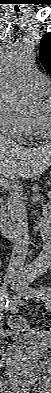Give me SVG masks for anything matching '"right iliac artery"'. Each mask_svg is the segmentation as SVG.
I'll return each instance as SVG.
<instances>
[{
  "instance_id": "right-iliac-artery-1",
  "label": "right iliac artery",
  "mask_w": 51,
  "mask_h": 393,
  "mask_svg": "<svg viewBox=\"0 0 51 393\" xmlns=\"http://www.w3.org/2000/svg\"><path fill=\"white\" fill-rule=\"evenodd\" d=\"M0 301H1V309L8 308V293H7V285L3 284L1 289H0Z\"/></svg>"
}]
</instances>
